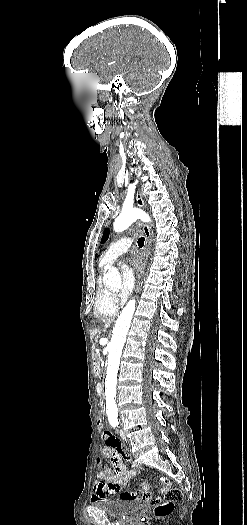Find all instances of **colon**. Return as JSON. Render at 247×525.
I'll return each instance as SVG.
<instances>
[{
    "mask_svg": "<svg viewBox=\"0 0 247 525\" xmlns=\"http://www.w3.org/2000/svg\"><path fill=\"white\" fill-rule=\"evenodd\" d=\"M95 424L97 426V430L102 432L104 430L106 421L104 418L99 417L96 419ZM156 497L159 499V504L157 506H153L154 514L156 516H165L171 512L174 503L180 501L183 498V494L178 488L161 489V494Z\"/></svg>",
    "mask_w": 247,
    "mask_h": 525,
    "instance_id": "1",
    "label": "colon"
}]
</instances>
